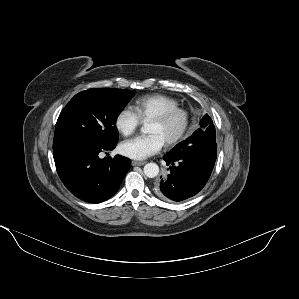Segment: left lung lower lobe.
I'll list each match as a JSON object with an SVG mask.
<instances>
[{"label": "left lung lower lobe", "mask_w": 299, "mask_h": 299, "mask_svg": "<svg viewBox=\"0 0 299 299\" xmlns=\"http://www.w3.org/2000/svg\"><path fill=\"white\" fill-rule=\"evenodd\" d=\"M211 153L210 142L202 138L177 152L164 155L163 159L169 166L168 175L157 182L156 194L177 202L196 195L214 168L216 158H212Z\"/></svg>", "instance_id": "1"}]
</instances>
